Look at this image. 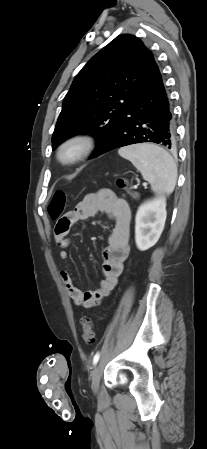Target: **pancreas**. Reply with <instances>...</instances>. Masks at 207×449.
<instances>
[{"label":"pancreas","mask_w":207,"mask_h":449,"mask_svg":"<svg viewBox=\"0 0 207 449\" xmlns=\"http://www.w3.org/2000/svg\"><path fill=\"white\" fill-rule=\"evenodd\" d=\"M131 196H132L133 198H137V197L139 196V194H138V193H132Z\"/></svg>","instance_id":"obj_1"}]
</instances>
